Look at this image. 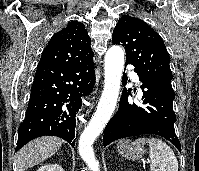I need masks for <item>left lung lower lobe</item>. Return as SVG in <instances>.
<instances>
[{
  "label": "left lung lower lobe",
  "instance_id": "obj_1",
  "mask_svg": "<svg viewBox=\"0 0 199 171\" xmlns=\"http://www.w3.org/2000/svg\"><path fill=\"white\" fill-rule=\"evenodd\" d=\"M138 76L142 82V106L135 103L129 104L128 96L131 89H123L119 109L105 127L104 147L120 138L154 134L169 140L181 151L180 142L174 129L176 122V115L173 111L175 93L140 75ZM122 84L125 86L127 80H122Z\"/></svg>",
  "mask_w": 199,
  "mask_h": 171
}]
</instances>
